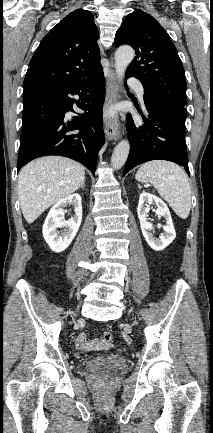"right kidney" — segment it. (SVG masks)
I'll list each match as a JSON object with an SVG mask.
<instances>
[{
    "label": "right kidney",
    "instance_id": "obj_1",
    "mask_svg": "<svg viewBox=\"0 0 213 433\" xmlns=\"http://www.w3.org/2000/svg\"><path fill=\"white\" fill-rule=\"evenodd\" d=\"M68 204L74 206L75 215L66 221L64 208ZM81 221L82 205L79 194H71L58 201L49 211L43 225V237L51 250L57 253L64 251L76 236ZM58 228H64V231L59 234Z\"/></svg>",
    "mask_w": 213,
    "mask_h": 433
}]
</instances>
